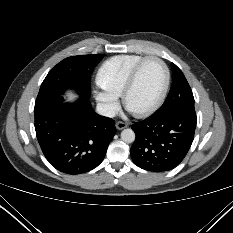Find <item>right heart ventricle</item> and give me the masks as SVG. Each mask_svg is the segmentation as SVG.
<instances>
[{
    "instance_id": "1",
    "label": "right heart ventricle",
    "mask_w": 233,
    "mask_h": 233,
    "mask_svg": "<svg viewBox=\"0 0 233 233\" xmlns=\"http://www.w3.org/2000/svg\"><path fill=\"white\" fill-rule=\"evenodd\" d=\"M143 58L138 54H123L107 59L97 72L98 85L106 91L121 95L131 70Z\"/></svg>"
}]
</instances>
